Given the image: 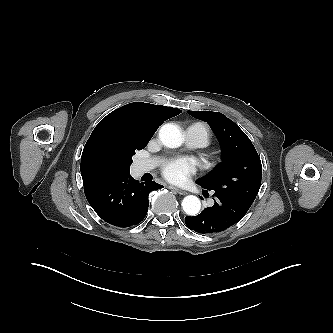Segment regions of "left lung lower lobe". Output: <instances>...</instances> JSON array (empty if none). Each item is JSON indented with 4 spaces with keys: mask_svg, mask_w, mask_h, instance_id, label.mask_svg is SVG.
I'll return each mask as SVG.
<instances>
[{
    "mask_svg": "<svg viewBox=\"0 0 333 333\" xmlns=\"http://www.w3.org/2000/svg\"><path fill=\"white\" fill-rule=\"evenodd\" d=\"M206 191L207 190H203ZM212 207L205 208L199 215L185 218L190 230L201 234H215L231 227L247 213L250 206L233 198L220 194Z\"/></svg>",
    "mask_w": 333,
    "mask_h": 333,
    "instance_id": "left-lung-lower-lobe-1",
    "label": "left lung lower lobe"
}]
</instances>
